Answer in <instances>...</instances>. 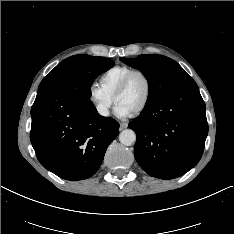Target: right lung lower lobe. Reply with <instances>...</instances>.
I'll use <instances>...</instances> for the list:
<instances>
[{
    "label": "right lung lower lobe",
    "instance_id": "right-lung-lower-lobe-1",
    "mask_svg": "<svg viewBox=\"0 0 234 234\" xmlns=\"http://www.w3.org/2000/svg\"><path fill=\"white\" fill-rule=\"evenodd\" d=\"M30 140L39 162L66 180H83L99 169L119 123L98 114L69 85L37 92L31 108Z\"/></svg>",
    "mask_w": 234,
    "mask_h": 234
}]
</instances>
